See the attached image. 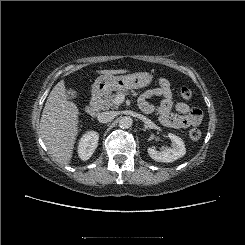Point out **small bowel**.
Returning a JSON list of instances; mask_svg holds the SVG:
<instances>
[{
  "label": "small bowel",
  "instance_id": "1",
  "mask_svg": "<svg viewBox=\"0 0 245 245\" xmlns=\"http://www.w3.org/2000/svg\"><path fill=\"white\" fill-rule=\"evenodd\" d=\"M162 96L158 106L151 105L147 99ZM140 106L144 111L157 112L163 125L171 128H188L197 126L202 120V112L197 107H190L184 102H173L170 82L165 77L158 79V86L145 91L140 97ZM174 111V112H173Z\"/></svg>",
  "mask_w": 245,
  "mask_h": 245
}]
</instances>
